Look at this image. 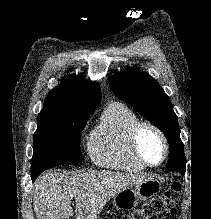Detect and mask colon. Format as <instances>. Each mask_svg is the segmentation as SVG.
Segmentation results:
<instances>
[{
  "mask_svg": "<svg viewBox=\"0 0 211 219\" xmlns=\"http://www.w3.org/2000/svg\"><path fill=\"white\" fill-rule=\"evenodd\" d=\"M178 201L179 186L175 184L164 194L143 203L132 214L120 219H164L175 215Z\"/></svg>",
  "mask_w": 211,
  "mask_h": 219,
  "instance_id": "obj_1",
  "label": "colon"
}]
</instances>
